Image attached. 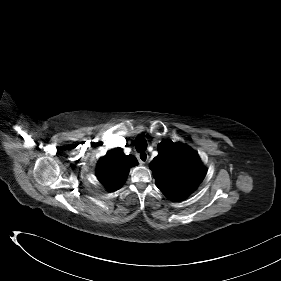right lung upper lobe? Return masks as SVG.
<instances>
[{"label": "right lung upper lobe", "mask_w": 281, "mask_h": 281, "mask_svg": "<svg viewBox=\"0 0 281 281\" xmlns=\"http://www.w3.org/2000/svg\"><path fill=\"white\" fill-rule=\"evenodd\" d=\"M133 155H125L121 148L110 150L97 164V178L108 191L119 189L126 181L129 169L137 165Z\"/></svg>", "instance_id": "cb5924a9"}]
</instances>
